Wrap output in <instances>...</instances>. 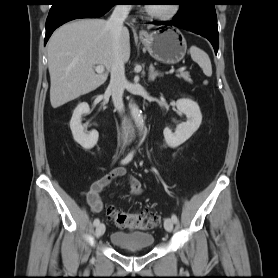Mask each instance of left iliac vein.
Segmentation results:
<instances>
[{
  "mask_svg": "<svg viewBox=\"0 0 278 278\" xmlns=\"http://www.w3.org/2000/svg\"><path fill=\"white\" fill-rule=\"evenodd\" d=\"M164 228L168 232H171L173 230V221H172V219H170V218L165 219Z\"/></svg>",
  "mask_w": 278,
  "mask_h": 278,
  "instance_id": "obj_1",
  "label": "left iliac vein"
}]
</instances>
